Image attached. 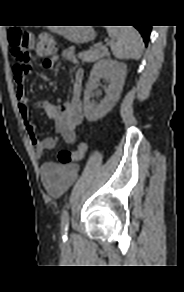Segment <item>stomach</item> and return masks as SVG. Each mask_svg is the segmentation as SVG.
<instances>
[{"instance_id": "stomach-1", "label": "stomach", "mask_w": 184, "mask_h": 292, "mask_svg": "<svg viewBox=\"0 0 184 292\" xmlns=\"http://www.w3.org/2000/svg\"><path fill=\"white\" fill-rule=\"evenodd\" d=\"M59 31L63 37L73 43H84L94 37V32L88 27L62 26Z\"/></svg>"}]
</instances>
